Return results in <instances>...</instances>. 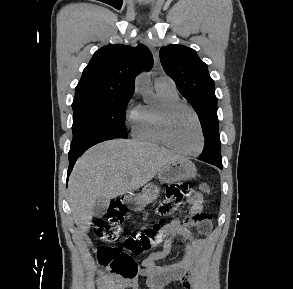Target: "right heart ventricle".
<instances>
[{
	"label": "right heart ventricle",
	"mask_w": 293,
	"mask_h": 289,
	"mask_svg": "<svg viewBox=\"0 0 293 289\" xmlns=\"http://www.w3.org/2000/svg\"><path fill=\"white\" fill-rule=\"evenodd\" d=\"M158 104L140 106L133 114V136L143 142L165 145L160 134V108L169 103L180 101L176 89L156 88Z\"/></svg>",
	"instance_id": "e07e8e85"
}]
</instances>
